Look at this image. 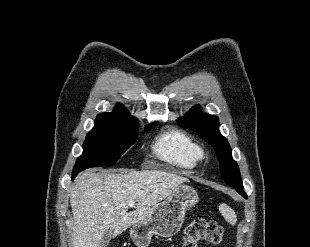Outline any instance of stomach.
Masks as SVG:
<instances>
[{
    "label": "stomach",
    "instance_id": "stomach-1",
    "mask_svg": "<svg viewBox=\"0 0 310 247\" xmlns=\"http://www.w3.org/2000/svg\"><path fill=\"white\" fill-rule=\"evenodd\" d=\"M199 202V196L189 185H178L173 193L153 208L142 221L133 224L130 237L137 247H148L153 235L172 237L179 232L187 210Z\"/></svg>",
    "mask_w": 310,
    "mask_h": 247
}]
</instances>
